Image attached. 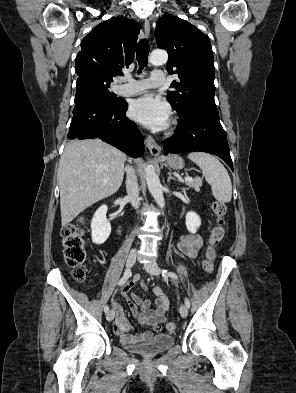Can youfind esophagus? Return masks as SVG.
I'll return each instance as SVG.
<instances>
[{
  "instance_id": "34e87169",
  "label": "esophagus",
  "mask_w": 296,
  "mask_h": 393,
  "mask_svg": "<svg viewBox=\"0 0 296 393\" xmlns=\"http://www.w3.org/2000/svg\"><path fill=\"white\" fill-rule=\"evenodd\" d=\"M150 35V22L148 20H145L144 22V36L148 38ZM145 144L147 148L149 149L150 153L152 155H159L161 152V147L156 143L154 138L150 135H148L145 139Z\"/></svg>"
}]
</instances>
